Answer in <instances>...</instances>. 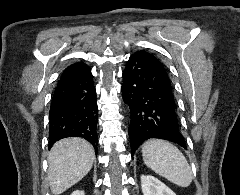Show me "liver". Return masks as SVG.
<instances>
[{"label": "liver", "instance_id": "1", "mask_svg": "<svg viewBox=\"0 0 240 195\" xmlns=\"http://www.w3.org/2000/svg\"><path fill=\"white\" fill-rule=\"evenodd\" d=\"M95 151L83 137L56 141L48 153V177L52 193L58 195L80 181L92 167Z\"/></svg>", "mask_w": 240, "mask_h": 195}]
</instances>
